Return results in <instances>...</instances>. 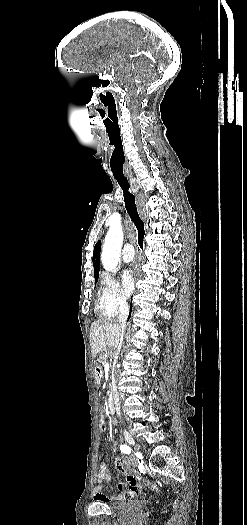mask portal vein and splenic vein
I'll use <instances>...</instances> for the list:
<instances>
[{
	"instance_id": "18ae733b",
	"label": "portal vein and splenic vein",
	"mask_w": 247,
	"mask_h": 525,
	"mask_svg": "<svg viewBox=\"0 0 247 525\" xmlns=\"http://www.w3.org/2000/svg\"><path fill=\"white\" fill-rule=\"evenodd\" d=\"M109 365H110L109 360H106V363H104V367H103L104 375H106V383H109V380H110L109 373H111V370H109Z\"/></svg>"
}]
</instances>
